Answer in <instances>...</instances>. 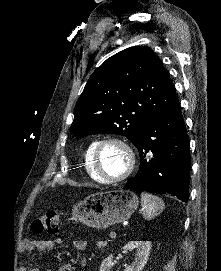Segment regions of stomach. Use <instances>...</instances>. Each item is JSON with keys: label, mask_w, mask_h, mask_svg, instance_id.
Returning <instances> with one entry per match:
<instances>
[{"label": "stomach", "mask_w": 221, "mask_h": 271, "mask_svg": "<svg viewBox=\"0 0 221 271\" xmlns=\"http://www.w3.org/2000/svg\"><path fill=\"white\" fill-rule=\"evenodd\" d=\"M138 205L137 195L129 189L93 193L74 208L75 219L86 223L89 227L104 229V227L129 219Z\"/></svg>", "instance_id": "stomach-1"}]
</instances>
